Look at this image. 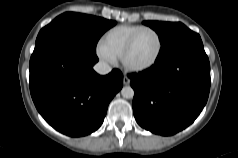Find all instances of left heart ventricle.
<instances>
[{
	"label": "left heart ventricle",
	"mask_w": 238,
	"mask_h": 158,
	"mask_svg": "<svg viewBox=\"0 0 238 158\" xmlns=\"http://www.w3.org/2000/svg\"><path fill=\"white\" fill-rule=\"evenodd\" d=\"M158 50V40L154 33L145 31L141 33L130 54L128 63L132 66H142L153 60Z\"/></svg>",
	"instance_id": "obj_1"
}]
</instances>
